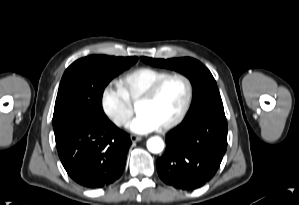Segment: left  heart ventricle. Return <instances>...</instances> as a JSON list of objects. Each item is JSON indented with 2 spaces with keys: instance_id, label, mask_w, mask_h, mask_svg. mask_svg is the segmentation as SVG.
<instances>
[{
  "instance_id": "obj_1",
  "label": "left heart ventricle",
  "mask_w": 299,
  "mask_h": 205,
  "mask_svg": "<svg viewBox=\"0 0 299 205\" xmlns=\"http://www.w3.org/2000/svg\"><path fill=\"white\" fill-rule=\"evenodd\" d=\"M186 97V86L180 79H171L165 83L158 94L147 103L137 106L139 113L151 116L159 126L172 120L182 108Z\"/></svg>"
}]
</instances>
